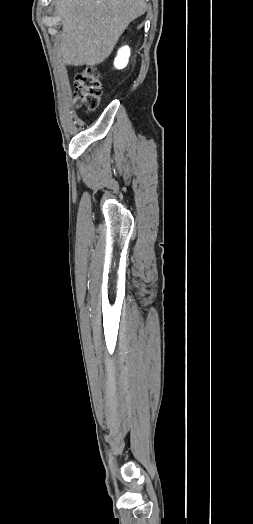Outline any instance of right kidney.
I'll return each mask as SVG.
<instances>
[{
	"mask_svg": "<svg viewBox=\"0 0 253 524\" xmlns=\"http://www.w3.org/2000/svg\"><path fill=\"white\" fill-rule=\"evenodd\" d=\"M130 57V49L128 46L122 47L115 58L114 65L117 69H122L126 67Z\"/></svg>",
	"mask_w": 253,
	"mask_h": 524,
	"instance_id": "obj_1",
	"label": "right kidney"
}]
</instances>
